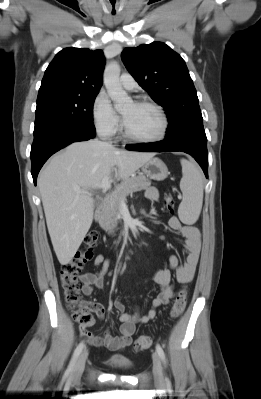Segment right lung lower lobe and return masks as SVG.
<instances>
[{"instance_id": "obj_1", "label": "right lung lower lobe", "mask_w": 261, "mask_h": 399, "mask_svg": "<svg viewBox=\"0 0 261 399\" xmlns=\"http://www.w3.org/2000/svg\"><path fill=\"white\" fill-rule=\"evenodd\" d=\"M95 131L86 130L68 121H50L34 128V141L31 147L32 177L36 185L37 175L55 152L72 142L94 138Z\"/></svg>"}]
</instances>
